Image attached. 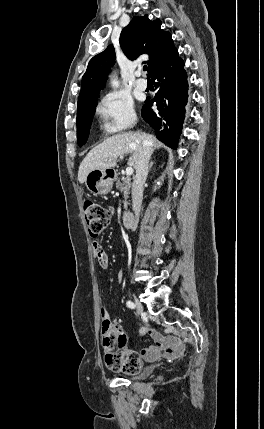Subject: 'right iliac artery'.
Segmentation results:
<instances>
[{
	"instance_id": "obj_1",
	"label": "right iliac artery",
	"mask_w": 264,
	"mask_h": 429,
	"mask_svg": "<svg viewBox=\"0 0 264 429\" xmlns=\"http://www.w3.org/2000/svg\"><path fill=\"white\" fill-rule=\"evenodd\" d=\"M127 307L134 309L135 308V304L132 301H127L126 302Z\"/></svg>"
}]
</instances>
